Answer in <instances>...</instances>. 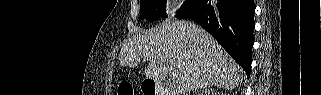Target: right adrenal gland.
<instances>
[{"label": "right adrenal gland", "mask_w": 321, "mask_h": 95, "mask_svg": "<svg viewBox=\"0 0 321 95\" xmlns=\"http://www.w3.org/2000/svg\"><path fill=\"white\" fill-rule=\"evenodd\" d=\"M217 90H218V89H217ZM200 91H201V90H200ZM211 91H214V89H212V88H208V89H207V88H203L202 93H203V94H210ZM197 92H199V91H197ZM197 92H196V93H197Z\"/></svg>", "instance_id": "1"}]
</instances>
